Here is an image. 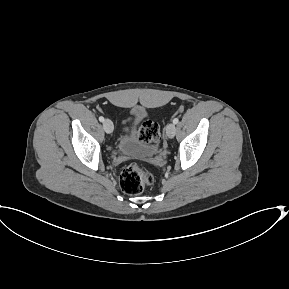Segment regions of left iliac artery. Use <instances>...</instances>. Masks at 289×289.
Listing matches in <instances>:
<instances>
[{
    "instance_id": "44dca946",
    "label": "left iliac artery",
    "mask_w": 289,
    "mask_h": 289,
    "mask_svg": "<svg viewBox=\"0 0 289 289\" xmlns=\"http://www.w3.org/2000/svg\"><path fill=\"white\" fill-rule=\"evenodd\" d=\"M178 122H179V119H178V118H174V119H173V123H174V124H177Z\"/></svg>"
}]
</instances>
